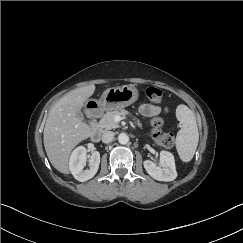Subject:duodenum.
<instances>
[{
    "instance_id": "410a0bca",
    "label": "duodenum",
    "mask_w": 243,
    "mask_h": 243,
    "mask_svg": "<svg viewBox=\"0 0 243 243\" xmlns=\"http://www.w3.org/2000/svg\"><path fill=\"white\" fill-rule=\"evenodd\" d=\"M103 110L102 109H98L95 113H94V116H97V115H100L102 114ZM92 140L93 141H98L100 139V132L99 130L97 129L96 126L93 127V130H92Z\"/></svg>"
}]
</instances>
